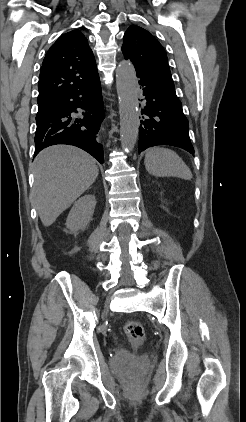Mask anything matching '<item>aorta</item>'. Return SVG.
<instances>
[{"label": "aorta", "mask_w": 246, "mask_h": 422, "mask_svg": "<svg viewBox=\"0 0 246 422\" xmlns=\"http://www.w3.org/2000/svg\"><path fill=\"white\" fill-rule=\"evenodd\" d=\"M116 87L119 99L121 146L131 152L136 144L140 118L138 112L137 81L131 61H121L116 69Z\"/></svg>", "instance_id": "obj_1"}]
</instances>
